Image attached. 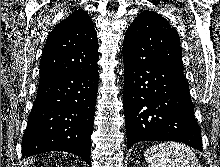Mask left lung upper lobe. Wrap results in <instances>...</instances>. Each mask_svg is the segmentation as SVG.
<instances>
[{
	"instance_id": "obj_1",
	"label": "left lung upper lobe",
	"mask_w": 220,
	"mask_h": 167,
	"mask_svg": "<svg viewBox=\"0 0 220 167\" xmlns=\"http://www.w3.org/2000/svg\"><path fill=\"white\" fill-rule=\"evenodd\" d=\"M123 54L140 62H152L183 71L178 33L161 15L143 11L124 37Z\"/></svg>"
}]
</instances>
